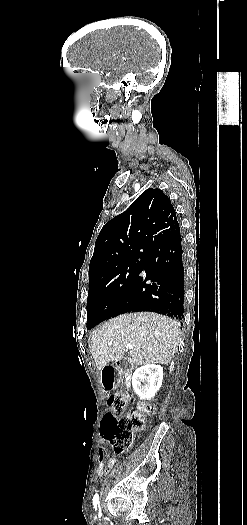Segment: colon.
Returning a JSON list of instances; mask_svg holds the SVG:
<instances>
[{
	"label": "colon",
	"instance_id": "5ec220e1",
	"mask_svg": "<svg viewBox=\"0 0 247 525\" xmlns=\"http://www.w3.org/2000/svg\"><path fill=\"white\" fill-rule=\"evenodd\" d=\"M129 396L125 392H116L108 400L110 411L105 414L99 436L110 442L114 453L123 454L132 444L134 431L144 423L142 414L151 415L154 406L140 405L127 411Z\"/></svg>",
	"mask_w": 247,
	"mask_h": 525
}]
</instances>
